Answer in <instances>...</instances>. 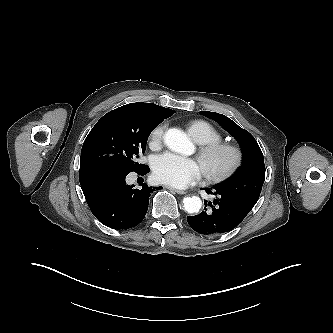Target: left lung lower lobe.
<instances>
[{"label":"left lung lower lobe","mask_w":333,"mask_h":333,"mask_svg":"<svg viewBox=\"0 0 333 333\" xmlns=\"http://www.w3.org/2000/svg\"><path fill=\"white\" fill-rule=\"evenodd\" d=\"M208 194L216 196L210 211H202L199 215L188 216L190 227L202 235H219L234 229L247 216L257 200L241 194H233L219 187L206 188ZM207 204V201H204Z\"/></svg>","instance_id":"left-lung-lower-lobe-1"}]
</instances>
